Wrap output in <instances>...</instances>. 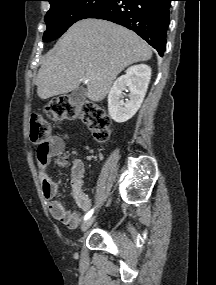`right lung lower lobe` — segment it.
I'll return each instance as SVG.
<instances>
[{
    "label": "right lung lower lobe",
    "mask_w": 216,
    "mask_h": 285,
    "mask_svg": "<svg viewBox=\"0 0 216 285\" xmlns=\"http://www.w3.org/2000/svg\"><path fill=\"white\" fill-rule=\"evenodd\" d=\"M171 0H111L86 18H99L132 29L163 56Z\"/></svg>",
    "instance_id": "obj_1"
}]
</instances>
